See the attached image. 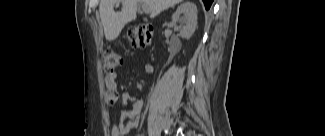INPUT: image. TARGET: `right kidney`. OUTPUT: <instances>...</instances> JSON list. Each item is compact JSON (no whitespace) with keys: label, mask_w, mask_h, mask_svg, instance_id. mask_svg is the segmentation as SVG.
<instances>
[{"label":"right kidney","mask_w":325,"mask_h":136,"mask_svg":"<svg viewBox=\"0 0 325 136\" xmlns=\"http://www.w3.org/2000/svg\"><path fill=\"white\" fill-rule=\"evenodd\" d=\"M183 14V16H181ZM179 21L180 26L176 27ZM172 24L175 30L179 31V35L184 39H190L195 32L197 26V7L191 1L182 3L172 15Z\"/></svg>","instance_id":"ca27d5eb"}]
</instances>
